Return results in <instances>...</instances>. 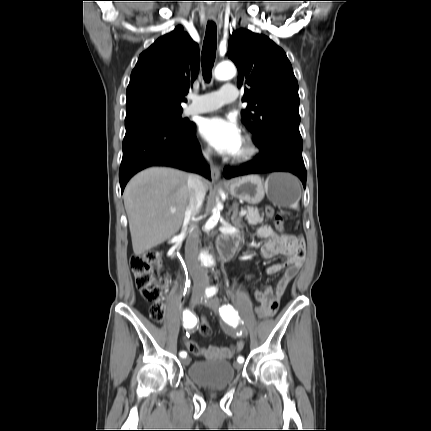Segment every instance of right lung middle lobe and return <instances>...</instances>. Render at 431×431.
I'll list each match as a JSON object with an SVG mask.
<instances>
[{
    "instance_id": "right-lung-middle-lobe-1",
    "label": "right lung middle lobe",
    "mask_w": 431,
    "mask_h": 431,
    "mask_svg": "<svg viewBox=\"0 0 431 431\" xmlns=\"http://www.w3.org/2000/svg\"><path fill=\"white\" fill-rule=\"evenodd\" d=\"M182 111L161 112L143 116L140 118L125 120L126 130L148 124H167L178 128H187L191 125L187 119H182Z\"/></svg>"
}]
</instances>
